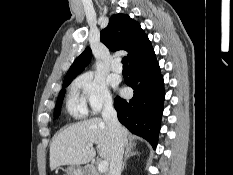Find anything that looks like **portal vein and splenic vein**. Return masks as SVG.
Returning a JSON list of instances; mask_svg holds the SVG:
<instances>
[{
    "instance_id": "1",
    "label": "portal vein and splenic vein",
    "mask_w": 233,
    "mask_h": 175,
    "mask_svg": "<svg viewBox=\"0 0 233 175\" xmlns=\"http://www.w3.org/2000/svg\"><path fill=\"white\" fill-rule=\"evenodd\" d=\"M88 147H93V145L89 144ZM107 168H108V163L106 160H102L99 162L98 171L100 173L106 172Z\"/></svg>"
}]
</instances>
